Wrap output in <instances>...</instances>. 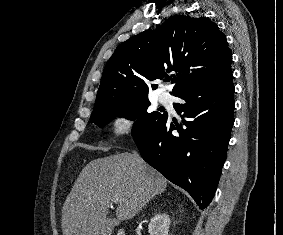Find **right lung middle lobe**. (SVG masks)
Segmentation results:
<instances>
[{"instance_id": "dd1d6c3e", "label": "right lung middle lobe", "mask_w": 283, "mask_h": 235, "mask_svg": "<svg viewBox=\"0 0 283 235\" xmlns=\"http://www.w3.org/2000/svg\"><path fill=\"white\" fill-rule=\"evenodd\" d=\"M149 106L148 96L97 104L91 114V122L102 127L117 116L130 120L137 119L132 128V136L135 138L154 127L166 115V113L147 111Z\"/></svg>"}]
</instances>
